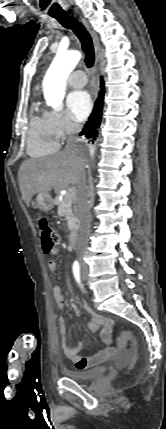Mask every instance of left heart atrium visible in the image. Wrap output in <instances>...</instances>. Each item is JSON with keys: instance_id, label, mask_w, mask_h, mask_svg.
<instances>
[{"instance_id": "left-heart-atrium-1", "label": "left heart atrium", "mask_w": 166, "mask_h": 429, "mask_svg": "<svg viewBox=\"0 0 166 429\" xmlns=\"http://www.w3.org/2000/svg\"><path fill=\"white\" fill-rule=\"evenodd\" d=\"M91 107V97L85 90L74 91L67 97L68 113L76 122L84 121L88 117Z\"/></svg>"}]
</instances>
